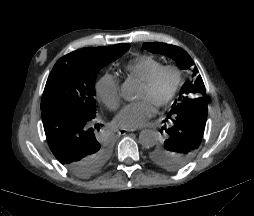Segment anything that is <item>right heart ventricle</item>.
I'll list each match as a JSON object with an SVG mask.
<instances>
[{"label":"right heart ventricle","instance_id":"right-heart-ventricle-1","mask_svg":"<svg viewBox=\"0 0 254 216\" xmlns=\"http://www.w3.org/2000/svg\"><path fill=\"white\" fill-rule=\"evenodd\" d=\"M161 66L162 63L153 57L140 56L130 61L126 70L131 77L144 82Z\"/></svg>","mask_w":254,"mask_h":216}]
</instances>
